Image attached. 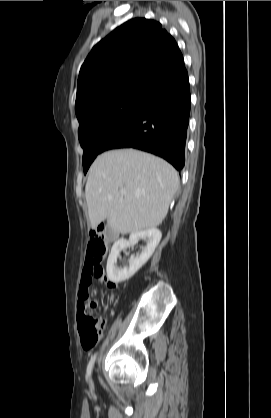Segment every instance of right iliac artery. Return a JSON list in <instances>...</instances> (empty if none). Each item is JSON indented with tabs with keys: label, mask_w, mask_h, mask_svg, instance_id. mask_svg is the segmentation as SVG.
Segmentation results:
<instances>
[{
	"label": "right iliac artery",
	"mask_w": 271,
	"mask_h": 418,
	"mask_svg": "<svg viewBox=\"0 0 271 418\" xmlns=\"http://www.w3.org/2000/svg\"><path fill=\"white\" fill-rule=\"evenodd\" d=\"M96 355H97V354H94V355L91 357V359H90V361H89V363H88V366H87V372H86V376H87V378L89 379L91 386H93V385H92V380H91V372H92V368H93V365H94L95 360H96Z\"/></svg>",
	"instance_id": "obj_1"
}]
</instances>
